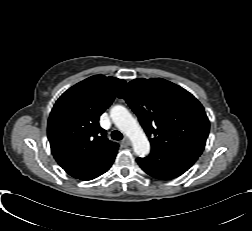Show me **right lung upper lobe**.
<instances>
[{
  "label": "right lung upper lobe",
  "mask_w": 252,
  "mask_h": 231,
  "mask_svg": "<svg viewBox=\"0 0 252 231\" xmlns=\"http://www.w3.org/2000/svg\"><path fill=\"white\" fill-rule=\"evenodd\" d=\"M124 84L122 79L96 75L74 85L56 101L47 136L55 160L72 177L92 180L114 162L119 146L108 140L98 121Z\"/></svg>",
  "instance_id": "1"
}]
</instances>
